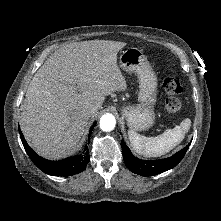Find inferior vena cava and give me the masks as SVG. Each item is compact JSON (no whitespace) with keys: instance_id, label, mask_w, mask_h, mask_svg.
Listing matches in <instances>:
<instances>
[{"instance_id":"inferior-vena-cava-1","label":"inferior vena cava","mask_w":221,"mask_h":221,"mask_svg":"<svg viewBox=\"0 0 221 221\" xmlns=\"http://www.w3.org/2000/svg\"><path fill=\"white\" fill-rule=\"evenodd\" d=\"M96 111H97V107L92 104L85 105L83 108V114L86 117H91L93 114L96 113Z\"/></svg>"}]
</instances>
